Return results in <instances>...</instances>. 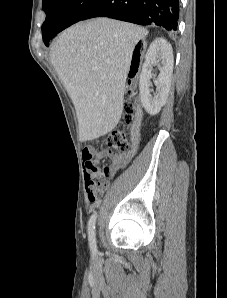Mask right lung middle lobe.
Wrapping results in <instances>:
<instances>
[{"label": "right lung middle lobe", "mask_w": 227, "mask_h": 298, "mask_svg": "<svg viewBox=\"0 0 227 298\" xmlns=\"http://www.w3.org/2000/svg\"><path fill=\"white\" fill-rule=\"evenodd\" d=\"M100 0H43L46 19L42 25L45 45L60 31L80 21Z\"/></svg>", "instance_id": "1"}]
</instances>
